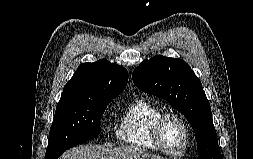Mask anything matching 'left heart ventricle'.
<instances>
[{"label": "left heart ventricle", "mask_w": 253, "mask_h": 159, "mask_svg": "<svg viewBox=\"0 0 253 159\" xmlns=\"http://www.w3.org/2000/svg\"><path fill=\"white\" fill-rule=\"evenodd\" d=\"M161 140L164 147L171 152H179L185 141L184 129L175 118L164 121L161 129Z\"/></svg>", "instance_id": "left-heart-ventricle-1"}]
</instances>
